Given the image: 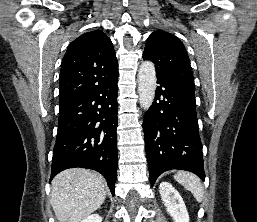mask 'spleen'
<instances>
[{
  "instance_id": "1",
  "label": "spleen",
  "mask_w": 257,
  "mask_h": 222,
  "mask_svg": "<svg viewBox=\"0 0 257 222\" xmlns=\"http://www.w3.org/2000/svg\"><path fill=\"white\" fill-rule=\"evenodd\" d=\"M174 178L177 182L182 184L187 190L191 191V193L198 202L202 201L203 186L201 185L200 180L196 175L181 171L174 175Z\"/></svg>"
}]
</instances>
